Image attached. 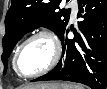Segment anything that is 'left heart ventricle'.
<instances>
[{"mask_svg":"<svg viewBox=\"0 0 107 89\" xmlns=\"http://www.w3.org/2000/svg\"><path fill=\"white\" fill-rule=\"evenodd\" d=\"M53 46L46 37L30 40L18 57V68L23 74H32L44 69L52 60Z\"/></svg>","mask_w":107,"mask_h":89,"instance_id":"1","label":"left heart ventricle"}]
</instances>
